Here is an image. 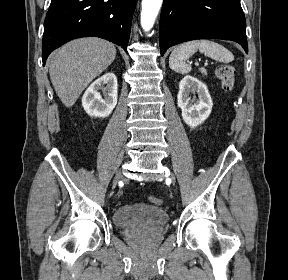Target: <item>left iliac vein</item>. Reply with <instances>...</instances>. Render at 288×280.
I'll return each mask as SVG.
<instances>
[{
    "label": "left iliac vein",
    "mask_w": 288,
    "mask_h": 280,
    "mask_svg": "<svg viewBox=\"0 0 288 280\" xmlns=\"http://www.w3.org/2000/svg\"><path fill=\"white\" fill-rule=\"evenodd\" d=\"M170 180L174 182V176H170Z\"/></svg>",
    "instance_id": "obj_1"
}]
</instances>
